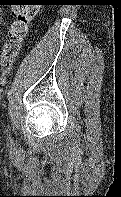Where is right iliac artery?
<instances>
[{
    "instance_id": "right-iliac-artery-1",
    "label": "right iliac artery",
    "mask_w": 121,
    "mask_h": 197,
    "mask_svg": "<svg viewBox=\"0 0 121 197\" xmlns=\"http://www.w3.org/2000/svg\"><path fill=\"white\" fill-rule=\"evenodd\" d=\"M10 145H11V146L13 145L12 139H10Z\"/></svg>"
}]
</instances>
